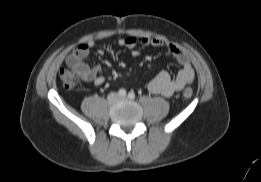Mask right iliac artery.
Here are the masks:
<instances>
[{
    "mask_svg": "<svg viewBox=\"0 0 261 182\" xmlns=\"http://www.w3.org/2000/svg\"><path fill=\"white\" fill-rule=\"evenodd\" d=\"M118 94H119V96H121V97H125V96H126V90H125V89H120V90L118 91Z\"/></svg>",
    "mask_w": 261,
    "mask_h": 182,
    "instance_id": "1",
    "label": "right iliac artery"
}]
</instances>
